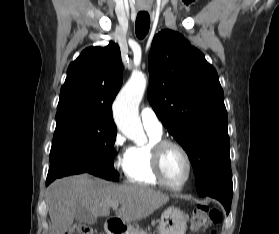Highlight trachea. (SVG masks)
<instances>
[{"label": "trachea", "mask_w": 279, "mask_h": 234, "mask_svg": "<svg viewBox=\"0 0 279 234\" xmlns=\"http://www.w3.org/2000/svg\"><path fill=\"white\" fill-rule=\"evenodd\" d=\"M150 16L147 12H139L136 18L135 31L139 39H143L149 31Z\"/></svg>", "instance_id": "trachea-1"}]
</instances>
